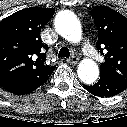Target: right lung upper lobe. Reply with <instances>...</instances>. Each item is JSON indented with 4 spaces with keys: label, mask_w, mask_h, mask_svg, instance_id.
I'll return each instance as SVG.
<instances>
[{
    "label": "right lung upper lobe",
    "mask_w": 127,
    "mask_h": 127,
    "mask_svg": "<svg viewBox=\"0 0 127 127\" xmlns=\"http://www.w3.org/2000/svg\"><path fill=\"white\" fill-rule=\"evenodd\" d=\"M54 8H27L0 22V82L13 78L42 79L54 71L46 64L48 46L40 40L41 28Z\"/></svg>",
    "instance_id": "right-lung-upper-lobe-1"
}]
</instances>
